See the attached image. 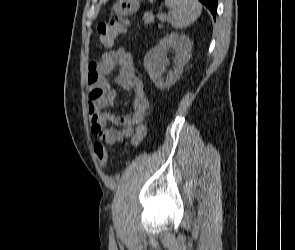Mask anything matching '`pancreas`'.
<instances>
[{
    "mask_svg": "<svg viewBox=\"0 0 295 250\" xmlns=\"http://www.w3.org/2000/svg\"><path fill=\"white\" fill-rule=\"evenodd\" d=\"M143 20L145 24H150L151 22H153V17L150 13H145Z\"/></svg>",
    "mask_w": 295,
    "mask_h": 250,
    "instance_id": "obj_1",
    "label": "pancreas"
}]
</instances>
